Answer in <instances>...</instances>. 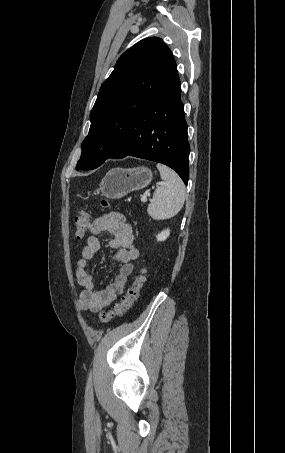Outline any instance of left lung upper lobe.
Wrapping results in <instances>:
<instances>
[{
  "label": "left lung upper lobe",
  "mask_w": 285,
  "mask_h": 453,
  "mask_svg": "<svg viewBox=\"0 0 285 453\" xmlns=\"http://www.w3.org/2000/svg\"><path fill=\"white\" fill-rule=\"evenodd\" d=\"M174 62L171 50L157 37L139 41L120 56L90 112L77 170L95 169L108 159Z\"/></svg>",
  "instance_id": "obj_1"
}]
</instances>
